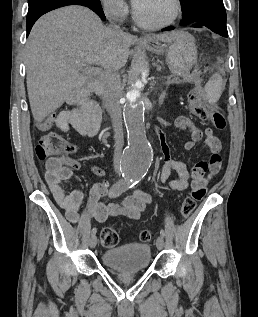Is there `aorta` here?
<instances>
[{
	"instance_id": "aorta-1",
	"label": "aorta",
	"mask_w": 258,
	"mask_h": 317,
	"mask_svg": "<svg viewBox=\"0 0 258 317\" xmlns=\"http://www.w3.org/2000/svg\"><path fill=\"white\" fill-rule=\"evenodd\" d=\"M143 83L138 80L127 93L123 107L124 123L127 130L128 144L121 158L120 169L128 180H141L152 161V150L146 138L144 105L140 99Z\"/></svg>"
}]
</instances>
